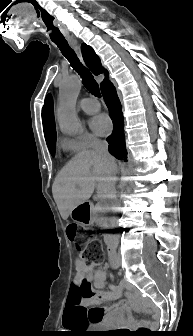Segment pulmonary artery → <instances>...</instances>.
Segmentation results:
<instances>
[{
  "label": "pulmonary artery",
  "instance_id": "e3ab8cb5",
  "mask_svg": "<svg viewBox=\"0 0 193 336\" xmlns=\"http://www.w3.org/2000/svg\"><path fill=\"white\" fill-rule=\"evenodd\" d=\"M79 107L88 114H93L99 111L100 104L96 99L84 98L80 100Z\"/></svg>",
  "mask_w": 193,
  "mask_h": 336
}]
</instances>
